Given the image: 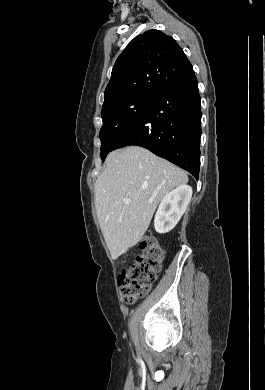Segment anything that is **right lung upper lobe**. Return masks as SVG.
Returning a JSON list of instances; mask_svg holds the SVG:
<instances>
[{
  "label": "right lung upper lobe",
  "mask_w": 265,
  "mask_h": 390,
  "mask_svg": "<svg viewBox=\"0 0 265 390\" xmlns=\"http://www.w3.org/2000/svg\"><path fill=\"white\" fill-rule=\"evenodd\" d=\"M191 67L171 36L158 30L146 31L135 37L116 60L103 108L136 94L157 95Z\"/></svg>",
  "instance_id": "1"
}]
</instances>
